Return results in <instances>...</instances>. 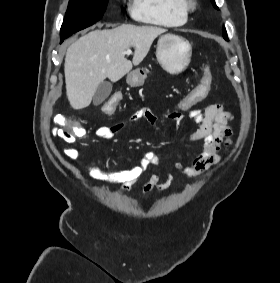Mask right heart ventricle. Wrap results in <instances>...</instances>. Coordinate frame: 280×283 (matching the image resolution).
<instances>
[{
  "mask_svg": "<svg viewBox=\"0 0 280 283\" xmlns=\"http://www.w3.org/2000/svg\"><path fill=\"white\" fill-rule=\"evenodd\" d=\"M131 13L137 21L165 27L184 25L188 18L183 0H134Z\"/></svg>",
  "mask_w": 280,
  "mask_h": 283,
  "instance_id": "obj_1",
  "label": "right heart ventricle"
}]
</instances>
